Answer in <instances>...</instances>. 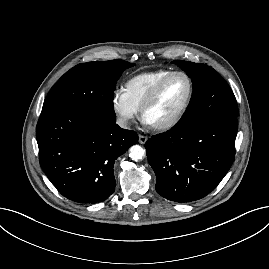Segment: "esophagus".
<instances>
[{"instance_id":"esophagus-1","label":"esophagus","mask_w":269,"mask_h":269,"mask_svg":"<svg viewBox=\"0 0 269 269\" xmlns=\"http://www.w3.org/2000/svg\"><path fill=\"white\" fill-rule=\"evenodd\" d=\"M147 137L146 136H144V135H139V143H141V144H145L146 143V141H147Z\"/></svg>"}]
</instances>
